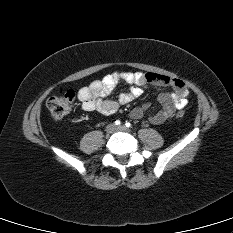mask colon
Returning a JSON list of instances; mask_svg holds the SVG:
<instances>
[{
    "label": "colon",
    "mask_w": 233,
    "mask_h": 233,
    "mask_svg": "<svg viewBox=\"0 0 233 233\" xmlns=\"http://www.w3.org/2000/svg\"><path fill=\"white\" fill-rule=\"evenodd\" d=\"M74 99V91L68 90L62 95L50 97L47 100V108L55 119H61L72 110ZM184 114V111L180 110L177 117L182 118Z\"/></svg>",
    "instance_id": "5ec220e1"
}]
</instances>
